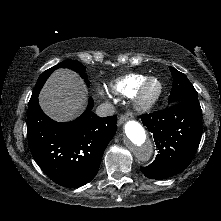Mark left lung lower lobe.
Here are the masks:
<instances>
[{
    "label": "left lung lower lobe",
    "mask_w": 221,
    "mask_h": 221,
    "mask_svg": "<svg viewBox=\"0 0 221 221\" xmlns=\"http://www.w3.org/2000/svg\"><path fill=\"white\" fill-rule=\"evenodd\" d=\"M143 124L153 134L158 154L142 173L151 179L174 176L191 163L201 140L202 110L186 102L141 116Z\"/></svg>",
    "instance_id": "obj_1"
}]
</instances>
